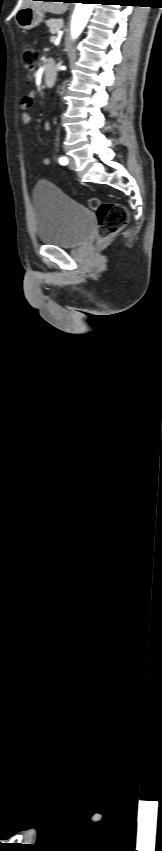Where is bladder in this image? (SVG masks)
Returning a JSON list of instances; mask_svg holds the SVG:
<instances>
[{"label": "bladder", "mask_w": 162, "mask_h": 851, "mask_svg": "<svg viewBox=\"0 0 162 851\" xmlns=\"http://www.w3.org/2000/svg\"><path fill=\"white\" fill-rule=\"evenodd\" d=\"M37 238L42 244L75 248L90 236L95 215L50 182H38L33 189Z\"/></svg>", "instance_id": "1"}]
</instances>
